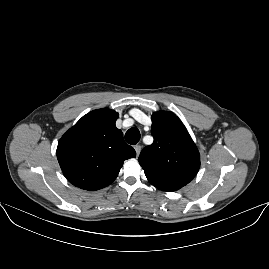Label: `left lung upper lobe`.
<instances>
[{
    "label": "left lung upper lobe",
    "instance_id": "1",
    "mask_svg": "<svg viewBox=\"0 0 269 269\" xmlns=\"http://www.w3.org/2000/svg\"><path fill=\"white\" fill-rule=\"evenodd\" d=\"M151 134L154 142L139 156L149 182L171 188L188 184L199 170L200 156L180 119L172 112H155Z\"/></svg>",
    "mask_w": 269,
    "mask_h": 269
}]
</instances>
